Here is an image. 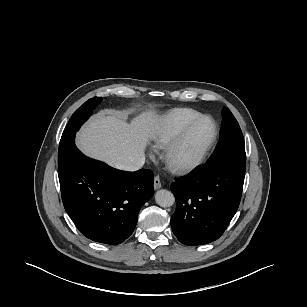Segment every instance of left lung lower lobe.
<instances>
[{
  "label": "left lung lower lobe",
  "mask_w": 307,
  "mask_h": 307,
  "mask_svg": "<svg viewBox=\"0 0 307 307\" xmlns=\"http://www.w3.org/2000/svg\"><path fill=\"white\" fill-rule=\"evenodd\" d=\"M244 176L235 166L217 163L172 183L177 208L171 227L181 243L207 244L223 234L238 209Z\"/></svg>",
  "instance_id": "0a47b994"
}]
</instances>
